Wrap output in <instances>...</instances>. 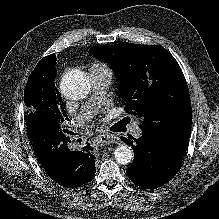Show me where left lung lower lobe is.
Instances as JSON below:
<instances>
[{
	"label": "left lung lower lobe",
	"instance_id": "left-lung-lower-lobe-1",
	"mask_svg": "<svg viewBox=\"0 0 219 219\" xmlns=\"http://www.w3.org/2000/svg\"><path fill=\"white\" fill-rule=\"evenodd\" d=\"M129 138H122L135 153L127 176L144 189H156L176 175L189 143V137L173 139L156 132H143L139 139L133 138L135 145Z\"/></svg>",
	"mask_w": 219,
	"mask_h": 219
}]
</instances>
